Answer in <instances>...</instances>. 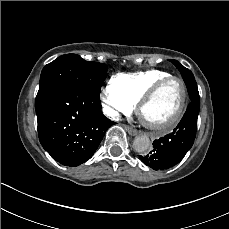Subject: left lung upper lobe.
Listing matches in <instances>:
<instances>
[{
    "label": "left lung upper lobe",
    "instance_id": "left-lung-upper-lobe-1",
    "mask_svg": "<svg viewBox=\"0 0 229 229\" xmlns=\"http://www.w3.org/2000/svg\"><path fill=\"white\" fill-rule=\"evenodd\" d=\"M169 61L172 62L176 66V68L181 72V75H182L183 78H185L186 76L193 75L190 70H188L187 68H185L178 61L171 60V59Z\"/></svg>",
    "mask_w": 229,
    "mask_h": 229
}]
</instances>
